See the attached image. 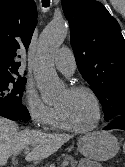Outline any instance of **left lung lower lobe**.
<instances>
[{
    "instance_id": "1",
    "label": "left lung lower lobe",
    "mask_w": 125,
    "mask_h": 167,
    "mask_svg": "<svg viewBox=\"0 0 125 167\" xmlns=\"http://www.w3.org/2000/svg\"><path fill=\"white\" fill-rule=\"evenodd\" d=\"M104 130L108 129H121L125 130V115L117 116L116 118L112 119L106 127L103 128Z\"/></svg>"
}]
</instances>
